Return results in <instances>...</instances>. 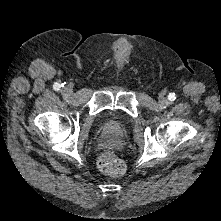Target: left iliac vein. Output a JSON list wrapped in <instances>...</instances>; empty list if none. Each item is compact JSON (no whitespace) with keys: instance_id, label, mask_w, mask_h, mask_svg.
I'll return each mask as SVG.
<instances>
[{"instance_id":"left-iliac-vein-1","label":"left iliac vein","mask_w":221,"mask_h":221,"mask_svg":"<svg viewBox=\"0 0 221 221\" xmlns=\"http://www.w3.org/2000/svg\"><path fill=\"white\" fill-rule=\"evenodd\" d=\"M160 104H161V105H165L166 102H165L164 100H162V101H160Z\"/></svg>"}]
</instances>
